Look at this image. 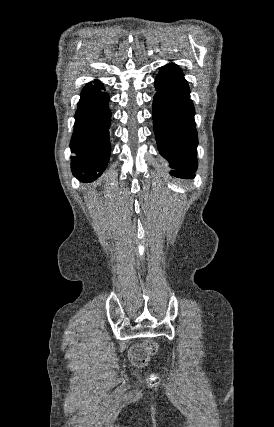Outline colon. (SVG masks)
I'll list each match as a JSON object with an SVG mask.
<instances>
[{
	"mask_svg": "<svg viewBox=\"0 0 274 427\" xmlns=\"http://www.w3.org/2000/svg\"><path fill=\"white\" fill-rule=\"evenodd\" d=\"M156 353V346L152 343H141L132 346L128 352V359L136 367L145 366L149 358Z\"/></svg>",
	"mask_w": 274,
	"mask_h": 427,
	"instance_id": "1",
	"label": "colon"
}]
</instances>
